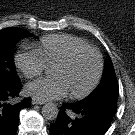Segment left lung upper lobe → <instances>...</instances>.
<instances>
[{
  "label": "left lung upper lobe",
  "mask_w": 135,
  "mask_h": 135,
  "mask_svg": "<svg viewBox=\"0 0 135 135\" xmlns=\"http://www.w3.org/2000/svg\"><path fill=\"white\" fill-rule=\"evenodd\" d=\"M119 88L111 58L108 56L105 62L103 77L98 87L83 101L93 99L115 97L118 98Z\"/></svg>",
  "instance_id": "obj_1"
}]
</instances>
